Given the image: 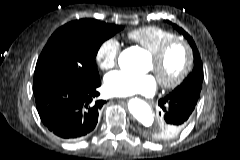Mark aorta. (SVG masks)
I'll list each match as a JSON object with an SVG mask.
<instances>
[{
	"instance_id": "762f6f07",
	"label": "aorta",
	"mask_w": 240,
	"mask_h": 160,
	"mask_svg": "<svg viewBox=\"0 0 240 160\" xmlns=\"http://www.w3.org/2000/svg\"><path fill=\"white\" fill-rule=\"evenodd\" d=\"M129 54L132 62L135 66H138L140 63V51L138 49L131 48L125 51L120 61L123 57ZM128 108L130 113L145 127H151L154 123V114L150 106L141 99L133 98L128 102Z\"/></svg>"
}]
</instances>
